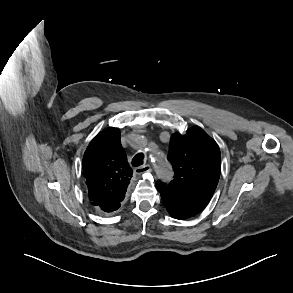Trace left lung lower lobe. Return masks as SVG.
<instances>
[{"label": "left lung lower lobe", "instance_id": "obj_1", "mask_svg": "<svg viewBox=\"0 0 293 293\" xmlns=\"http://www.w3.org/2000/svg\"><path fill=\"white\" fill-rule=\"evenodd\" d=\"M161 198H162V202H163L164 206L166 207L167 211L170 213V215L173 218L186 219V218H189V217L196 215L193 211H191L185 207H182V206L172 202L171 200H169L165 197L161 196Z\"/></svg>", "mask_w": 293, "mask_h": 293}]
</instances>
